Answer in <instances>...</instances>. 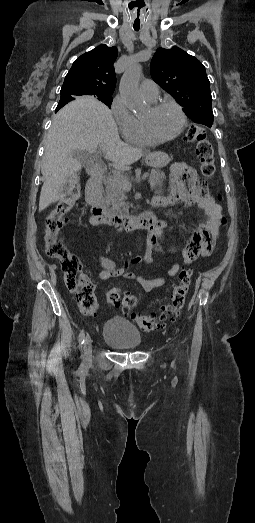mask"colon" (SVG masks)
<instances>
[{
  "label": "colon",
  "instance_id": "5ec220e1",
  "mask_svg": "<svg viewBox=\"0 0 255 523\" xmlns=\"http://www.w3.org/2000/svg\"><path fill=\"white\" fill-rule=\"evenodd\" d=\"M186 140L195 144V152L203 176L212 177L216 170L214 152L205 130L198 125L190 126L186 133ZM79 196V185L74 178L69 195L62 199L46 217L45 242L47 255L61 263L65 284L76 297L80 311L89 315L95 313L98 308L94 285L84 273L80 259L59 240V233L65 224L66 216L73 209ZM221 223H225L224 217L221 218ZM191 276V269L181 271L178 280L172 286L170 301L159 315L136 314L134 320L138 327L145 331H151L162 328L166 322L174 320L184 306L191 284ZM106 299L111 305H121L126 312L133 309L137 304L135 295L126 293L121 296L116 288L107 291Z\"/></svg>",
  "mask_w": 255,
  "mask_h": 523
}]
</instances>
